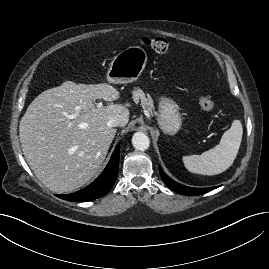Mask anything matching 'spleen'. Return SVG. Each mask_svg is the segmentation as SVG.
Masks as SVG:
<instances>
[{
	"label": "spleen",
	"mask_w": 269,
	"mask_h": 269,
	"mask_svg": "<svg viewBox=\"0 0 269 269\" xmlns=\"http://www.w3.org/2000/svg\"><path fill=\"white\" fill-rule=\"evenodd\" d=\"M243 135L242 123L236 119L229 130L225 131L220 143L201 155L183 157L185 167L192 173L217 175L226 171L234 162Z\"/></svg>",
	"instance_id": "obj_1"
}]
</instances>
